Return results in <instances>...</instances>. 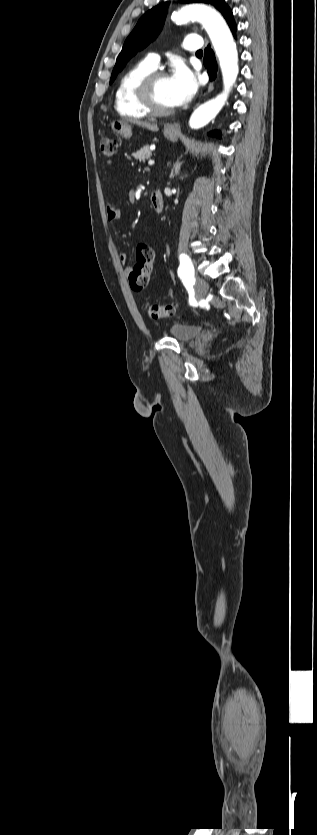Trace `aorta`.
Here are the masks:
<instances>
[{"label":"aorta","instance_id":"aorta-1","mask_svg":"<svg viewBox=\"0 0 317 835\" xmlns=\"http://www.w3.org/2000/svg\"><path fill=\"white\" fill-rule=\"evenodd\" d=\"M171 19L178 24H186L191 19L200 22L205 28L219 60L223 91L216 98L199 106L191 115L189 126L199 129L207 125L221 111L239 73L238 53L233 36L223 17L214 9L191 4L172 12Z\"/></svg>","mask_w":317,"mask_h":835}]
</instances>
